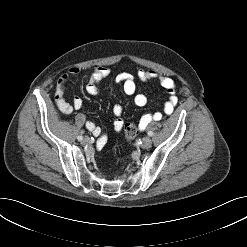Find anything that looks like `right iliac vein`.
I'll list each match as a JSON object with an SVG mask.
<instances>
[{"label": "right iliac vein", "instance_id": "63e3f726", "mask_svg": "<svg viewBox=\"0 0 247 247\" xmlns=\"http://www.w3.org/2000/svg\"><path fill=\"white\" fill-rule=\"evenodd\" d=\"M82 143L83 144H90L91 143V140H90V138L89 137H85L83 140H82Z\"/></svg>", "mask_w": 247, "mask_h": 247}]
</instances>
